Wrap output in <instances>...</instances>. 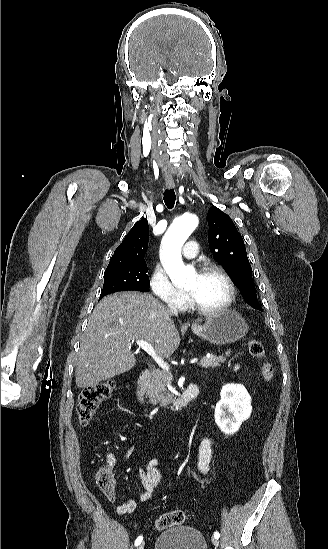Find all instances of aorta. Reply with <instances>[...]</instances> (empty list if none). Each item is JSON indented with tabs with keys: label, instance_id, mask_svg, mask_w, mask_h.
<instances>
[{
	"label": "aorta",
	"instance_id": "aorta-1",
	"mask_svg": "<svg viewBox=\"0 0 328 549\" xmlns=\"http://www.w3.org/2000/svg\"><path fill=\"white\" fill-rule=\"evenodd\" d=\"M197 225L198 218L196 215H182L173 221L162 241L164 268L172 283L178 287L189 284L195 276V270L184 265L181 249Z\"/></svg>",
	"mask_w": 328,
	"mask_h": 549
}]
</instances>
